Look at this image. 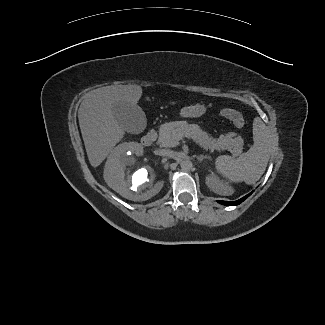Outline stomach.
<instances>
[{"label": "stomach", "instance_id": "obj_1", "mask_svg": "<svg viewBox=\"0 0 325 325\" xmlns=\"http://www.w3.org/2000/svg\"><path fill=\"white\" fill-rule=\"evenodd\" d=\"M206 112V107L201 104H196L193 106L184 107L181 110L182 117H200Z\"/></svg>", "mask_w": 325, "mask_h": 325}]
</instances>
